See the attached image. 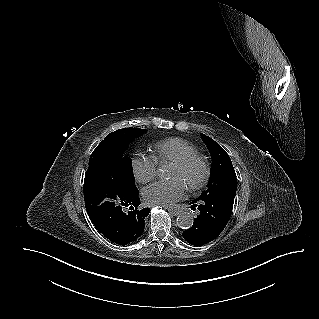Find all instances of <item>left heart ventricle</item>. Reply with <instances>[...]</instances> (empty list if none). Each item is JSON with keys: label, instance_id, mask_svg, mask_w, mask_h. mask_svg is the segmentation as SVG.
I'll return each mask as SVG.
<instances>
[{"label": "left heart ventricle", "instance_id": "left-heart-ventricle-1", "mask_svg": "<svg viewBox=\"0 0 319 319\" xmlns=\"http://www.w3.org/2000/svg\"><path fill=\"white\" fill-rule=\"evenodd\" d=\"M202 173V165L198 162H195L185 169H180L174 165H171L168 177L170 179H180L185 183V185H190L197 182L202 176Z\"/></svg>", "mask_w": 319, "mask_h": 319}]
</instances>
